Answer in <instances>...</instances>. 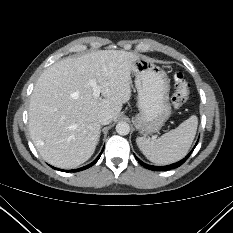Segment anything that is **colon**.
<instances>
[{
    "mask_svg": "<svg viewBox=\"0 0 233 233\" xmlns=\"http://www.w3.org/2000/svg\"><path fill=\"white\" fill-rule=\"evenodd\" d=\"M174 93L171 99L173 108L180 109L189 99L190 84L181 72H176L173 76Z\"/></svg>",
    "mask_w": 233,
    "mask_h": 233,
    "instance_id": "colon-1",
    "label": "colon"
}]
</instances>
